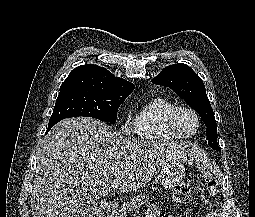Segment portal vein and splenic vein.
I'll return each instance as SVG.
<instances>
[{
    "label": "portal vein and splenic vein",
    "instance_id": "18ae733b",
    "mask_svg": "<svg viewBox=\"0 0 255 217\" xmlns=\"http://www.w3.org/2000/svg\"><path fill=\"white\" fill-rule=\"evenodd\" d=\"M111 173H112V175H117L118 171L117 170H113Z\"/></svg>",
    "mask_w": 255,
    "mask_h": 217
}]
</instances>
